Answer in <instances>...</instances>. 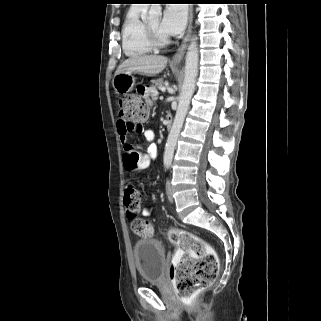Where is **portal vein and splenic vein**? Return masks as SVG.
I'll use <instances>...</instances> for the list:
<instances>
[{
	"instance_id": "1",
	"label": "portal vein and splenic vein",
	"mask_w": 321,
	"mask_h": 321,
	"mask_svg": "<svg viewBox=\"0 0 321 321\" xmlns=\"http://www.w3.org/2000/svg\"><path fill=\"white\" fill-rule=\"evenodd\" d=\"M160 90H161L162 92H165L166 88H165V87H162Z\"/></svg>"
}]
</instances>
